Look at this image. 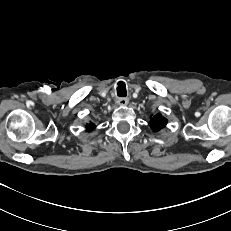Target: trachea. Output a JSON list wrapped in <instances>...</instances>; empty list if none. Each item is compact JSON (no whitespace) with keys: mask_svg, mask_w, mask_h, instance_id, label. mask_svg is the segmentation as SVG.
<instances>
[{"mask_svg":"<svg viewBox=\"0 0 231 231\" xmlns=\"http://www.w3.org/2000/svg\"><path fill=\"white\" fill-rule=\"evenodd\" d=\"M117 95L120 97H125L127 95L126 86L123 83L118 84Z\"/></svg>","mask_w":231,"mask_h":231,"instance_id":"obj_1","label":"trachea"}]
</instances>
